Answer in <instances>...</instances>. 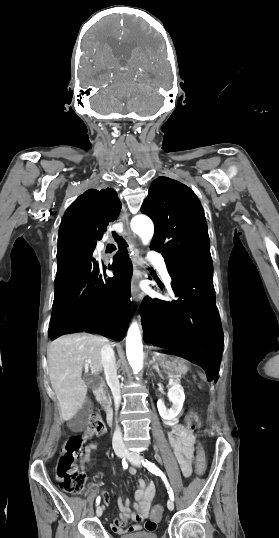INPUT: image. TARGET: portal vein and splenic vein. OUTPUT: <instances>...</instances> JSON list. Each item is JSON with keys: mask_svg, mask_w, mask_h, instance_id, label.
<instances>
[{"mask_svg": "<svg viewBox=\"0 0 279 538\" xmlns=\"http://www.w3.org/2000/svg\"><path fill=\"white\" fill-rule=\"evenodd\" d=\"M88 366V362L86 364ZM167 383H173V377H166Z\"/></svg>", "mask_w": 279, "mask_h": 538, "instance_id": "portal-vein-and-splenic-vein-1", "label": "portal vein and splenic vein"}]
</instances>
